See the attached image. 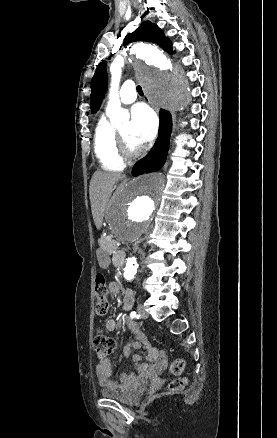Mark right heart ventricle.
Segmentation results:
<instances>
[{"instance_id":"1","label":"right heart ventricle","mask_w":277,"mask_h":438,"mask_svg":"<svg viewBox=\"0 0 277 438\" xmlns=\"http://www.w3.org/2000/svg\"><path fill=\"white\" fill-rule=\"evenodd\" d=\"M132 127V125L130 124ZM94 149L101 166L108 171L121 172L124 159L115 144V130L106 116L99 120L94 136Z\"/></svg>"}]
</instances>
